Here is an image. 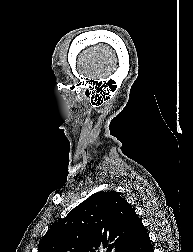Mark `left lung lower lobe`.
Listing matches in <instances>:
<instances>
[{"mask_svg":"<svg viewBox=\"0 0 193 252\" xmlns=\"http://www.w3.org/2000/svg\"><path fill=\"white\" fill-rule=\"evenodd\" d=\"M124 252H154L147 230L142 222L136 226Z\"/></svg>","mask_w":193,"mask_h":252,"instance_id":"left-lung-lower-lobe-1","label":"left lung lower lobe"}]
</instances>
